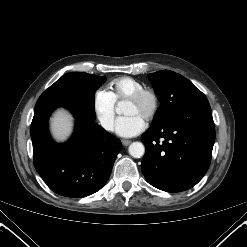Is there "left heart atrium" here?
<instances>
[{
    "instance_id": "39dd6f15",
    "label": "left heart atrium",
    "mask_w": 247,
    "mask_h": 247,
    "mask_svg": "<svg viewBox=\"0 0 247 247\" xmlns=\"http://www.w3.org/2000/svg\"><path fill=\"white\" fill-rule=\"evenodd\" d=\"M146 127L145 119L138 114H128L117 119L115 131L121 137H133Z\"/></svg>"
}]
</instances>
